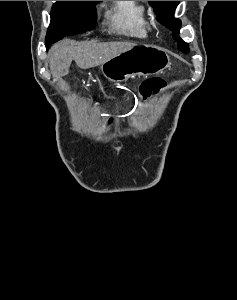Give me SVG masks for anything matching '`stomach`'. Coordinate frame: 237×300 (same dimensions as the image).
Returning a JSON list of instances; mask_svg holds the SVG:
<instances>
[{
	"mask_svg": "<svg viewBox=\"0 0 237 300\" xmlns=\"http://www.w3.org/2000/svg\"><path fill=\"white\" fill-rule=\"evenodd\" d=\"M169 61L166 51L161 47L137 45V47H132L130 51L120 53V55L102 63L101 71L109 81L121 83V81H127L134 75L148 77V75L162 73L164 69H167Z\"/></svg>",
	"mask_w": 237,
	"mask_h": 300,
	"instance_id": "0dacf381",
	"label": "stomach"
}]
</instances>
